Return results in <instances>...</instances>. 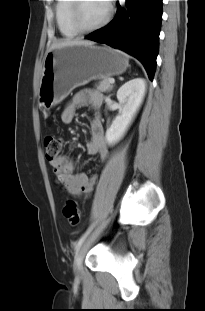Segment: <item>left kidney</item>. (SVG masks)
Returning a JSON list of instances; mask_svg holds the SVG:
<instances>
[{
	"instance_id": "5707ae66",
	"label": "left kidney",
	"mask_w": 205,
	"mask_h": 311,
	"mask_svg": "<svg viewBox=\"0 0 205 311\" xmlns=\"http://www.w3.org/2000/svg\"><path fill=\"white\" fill-rule=\"evenodd\" d=\"M145 92L146 81L143 78L132 79L119 88L117 99L122 104V111L106 131L108 145L115 144L124 136L143 102Z\"/></svg>"
}]
</instances>
